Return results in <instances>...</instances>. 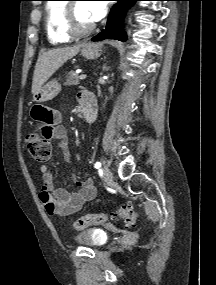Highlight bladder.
Instances as JSON below:
<instances>
[{
    "instance_id": "1",
    "label": "bladder",
    "mask_w": 216,
    "mask_h": 285,
    "mask_svg": "<svg viewBox=\"0 0 216 285\" xmlns=\"http://www.w3.org/2000/svg\"><path fill=\"white\" fill-rule=\"evenodd\" d=\"M75 240L81 245L97 248L103 246L107 242L108 236L102 229L90 228L79 232L75 236Z\"/></svg>"
}]
</instances>
